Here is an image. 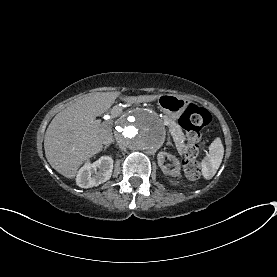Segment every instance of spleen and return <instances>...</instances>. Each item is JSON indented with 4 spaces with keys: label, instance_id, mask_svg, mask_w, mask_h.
<instances>
[{
    "label": "spleen",
    "instance_id": "obj_1",
    "mask_svg": "<svg viewBox=\"0 0 277 277\" xmlns=\"http://www.w3.org/2000/svg\"><path fill=\"white\" fill-rule=\"evenodd\" d=\"M224 155V147L221 139L217 137L209 146V154L202 161V175L205 179H211L219 168Z\"/></svg>",
    "mask_w": 277,
    "mask_h": 277
}]
</instances>
